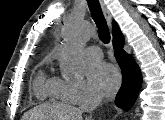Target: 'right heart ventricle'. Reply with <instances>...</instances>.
<instances>
[{"mask_svg":"<svg viewBox=\"0 0 165 120\" xmlns=\"http://www.w3.org/2000/svg\"><path fill=\"white\" fill-rule=\"evenodd\" d=\"M34 90L36 95L41 99L64 100L58 91L56 78L46 76L43 70L39 72L35 79Z\"/></svg>","mask_w":165,"mask_h":120,"instance_id":"e07e8e85","label":"right heart ventricle"}]
</instances>
